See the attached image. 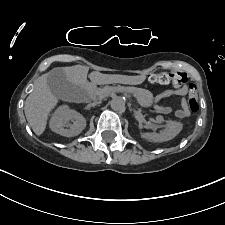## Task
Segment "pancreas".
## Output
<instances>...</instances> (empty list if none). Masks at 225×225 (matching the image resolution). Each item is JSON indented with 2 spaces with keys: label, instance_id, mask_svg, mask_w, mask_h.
Segmentation results:
<instances>
[{
  "label": "pancreas",
  "instance_id": "cf45deb5",
  "mask_svg": "<svg viewBox=\"0 0 225 225\" xmlns=\"http://www.w3.org/2000/svg\"><path fill=\"white\" fill-rule=\"evenodd\" d=\"M115 91H124L133 94L137 98L138 103L144 108L152 106L154 102L153 94L149 90L137 87L106 86L95 89L94 93L104 97Z\"/></svg>",
  "mask_w": 225,
  "mask_h": 225
}]
</instances>
